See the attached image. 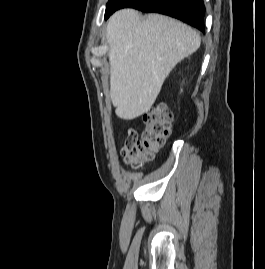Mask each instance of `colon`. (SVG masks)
<instances>
[{
    "mask_svg": "<svg viewBox=\"0 0 265 269\" xmlns=\"http://www.w3.org/2000/svg\"><path fill=\"white\" fill-rule=\"evenodd\" d=\"M172 117V112L166 105L158 104L144 113L146 127L141 138L134 128L128 130L122 152L130 166L139 168L154 159L156 151L170 134Z\"/></svg>",
    "mask_w": 265,
    "mask_h": 269,
    "instance_id": "5ec220e1",
    "label": "colon"
}]
</instances>
